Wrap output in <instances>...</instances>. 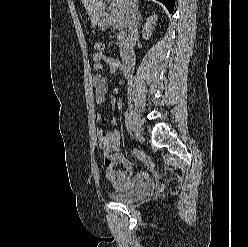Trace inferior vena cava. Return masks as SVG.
I'll return each instance as SVG.
<instances>
[{
	"label": "inferior vena cava",
	"instance_id": "inferior-vena-cava-1",
	"mask_svg": "<svg viewBox=\"0 0 248 247\" xmlns=\"http://www.w3.org/2000/svg\"><path fill=\"white\" fill-rule=\"evenodd\" d=\"M124 2L125 23L128 26L130 36L134 37L137 33L136 0H124ZM132 45H134V42Z\"/></svg>",
	"mask_w": 248,
	"mask_h": 247
}]
</instances>
